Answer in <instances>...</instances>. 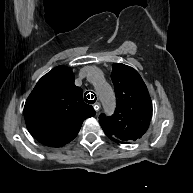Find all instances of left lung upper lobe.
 <instances>
[{
  "instance_id": "5c2ea615",
  "label": "left lung upper lobe",
  "mask_w": 193,
  "mask_h": 193,
  "mask_svg": "<svg viewBox=\"0 0 193 193\" xmlns=\"http://www.w3.org/2000/svg\"><path fill=\"white\" fill-rule=\"evenodd\" d=\"M111 78L117 107L112 117L101 114L99 122L105 134L115 142H132L147 131L152 117V102L139 73L127 65H113Z\"/></svg>"
}]
</instances>
